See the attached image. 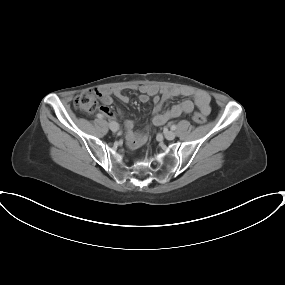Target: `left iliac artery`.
<instances>
[{"mask_svg":"<svg viewBox=\"0 0 285 285\" xmlns=\"http://www.w3.org/2000/svg\"><path fill=\"white\" fill-rule=\"evenodd\" d=\"M176 128H177L176 124H173V125L171 126V130H176Z\"/></svg>","mask_w":285,"mask_h":285,"instance_id":"obj_1","label":"left iliac artery"}]
</instances>
